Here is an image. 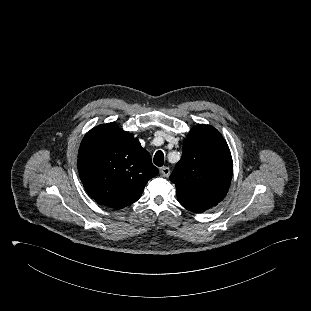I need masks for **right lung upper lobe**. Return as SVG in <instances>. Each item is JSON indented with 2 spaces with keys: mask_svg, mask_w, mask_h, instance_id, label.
Here are the masks:
<instances>
[{
  "mask_svg": "<svg viewBox=\"0 0 311 311\" xmlns=\"http://www.w3.org/2000/svg\"><path fill=\"white\" fill-rule=\"evenodd\" d=\"M77 168L89 196L114 209L137 201L146 183L159 173L138 139L115 122L99 125L85 135Z\"/></svg>",
  "mask_w": 311,
  "mask_h": 311,
  "instance_id": "obj_1",
  "label": "right lung upper lobe"
}]
</instances>
